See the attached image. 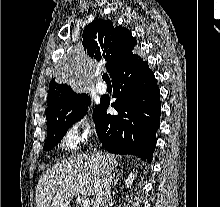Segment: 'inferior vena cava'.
I'll return each mask as SVG.
<instances>
[{
	"label": "inferior vena cava",
	"mask_w": 220,
	"mask_h": 207,
	"mask_svg": "<svg viewBox=\"0 0 220 207\" xmlns=\"http://www.w3.org/2000/svg\"><path fill=\"white\" fill-rule=\"evenodd\" d=\"M91 157L95 162L96 167L99 169V177L95 184V200L93 207H109L112 183L111 171L106 167L102 154L94 151L91 154Z\"/></svg>",
	"instance_id": "inferior-vena-cava-1"
}]
</instances>
